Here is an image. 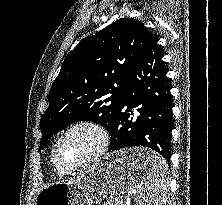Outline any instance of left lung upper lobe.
Masks as SVG:
<instances>
[{"label": "left lung upper lobe", "instance_id": "5c2ea615", "mask_svg": "<svg viewBox=\"0 0 222 205\" xmlns=\"http://www.w3.org/2000/svg\"><path fill=\"white\" fill-rule=\"evenodd\" d=\"M150 36L141 21L122 18L79 42L50 89L49 107L40 121L42 146L77 121L112 129L127 75Z\"/></svg>", "mask_w": 222, "mask_h": 205}]
</instances>
